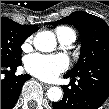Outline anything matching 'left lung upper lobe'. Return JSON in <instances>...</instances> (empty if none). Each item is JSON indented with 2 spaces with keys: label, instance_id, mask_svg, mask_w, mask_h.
<instances>
[{
  "label": "left lung upper lobe",
  "instance_id": "obj_1",
  "mask_svg": "<svg viewBox=\"0 0 109 109\" xmlns=\"http://www.w3.org/2000/svg\"><path fill=\"white\" fill-rule=\"evenodd\" d=\"M52 24H71L81 35L78 63L67 74L80 73L94 63H109V26L104 20L84 11H76Z\"/></svg>",
  "mask_w": 109,
  "mask_h": 109
}]
</instances>
